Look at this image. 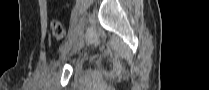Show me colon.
<instances>
[{"mask_svg": "<svg viewBox=\"0 0 209 90\" xmlns=\"http://www.w3.org/2000/svg\"><path fill=\"white\" fill-rule=\"evenodd\" d=\"M50 29H51V33L53 37L56 40L61 41L64 39L66 35V29H65L64 24L61 21L53 20L50 24Z\"/></svg>", "mask_w": 209, "mask_h": 90, "instance_id": "1", "label": "colon"}]
</instances>
